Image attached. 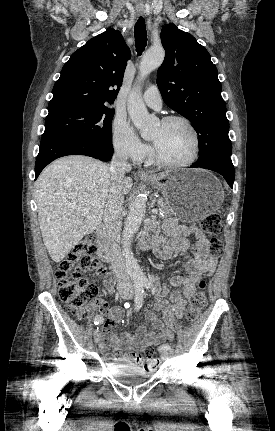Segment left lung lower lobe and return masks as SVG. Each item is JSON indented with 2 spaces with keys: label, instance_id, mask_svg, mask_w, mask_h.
<instances>
[{
  "label": "left lung lower lobe",
  "instance_id": "obj_1",
  "mask_svg": "<svg viewBox=\"0 0 275 431\" xmlns=\"http://www.w3.org/2000/svg\"><path fill=\"white\" fill-rule=\"evenodd\" d=\"M191 167H200L218 172L225 178L229 186L233 188L235 169L231 158H214L203 162L197 161L196 163L192 164Z\"/></svg>",
  "mask_w": 275,
  "mask_h": 431
}]
</instances>
